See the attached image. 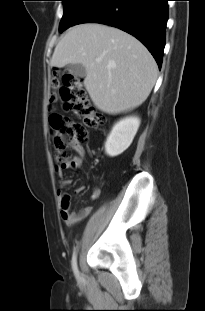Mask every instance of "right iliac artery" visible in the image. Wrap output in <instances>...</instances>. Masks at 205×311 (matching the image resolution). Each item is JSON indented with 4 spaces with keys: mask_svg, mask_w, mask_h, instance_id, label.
<instances>
[{
    "mask_svg": "<svg viewBox=\"0 0 205 311\" xmlns=\"http://www.w3.org/2000/svg\"><path fill=\"white\" fill-rule=\"evenodd\" d=\"M71 263H72V268H73V272L75 276L79 277V272L77 268V249H75L73 252Z\"/></svg>",
    "mask_w": 205,
    "mask_h": 311,
    "instance_id": "obj_1",
    "label": "right iliac artery"
}]
</instances>
